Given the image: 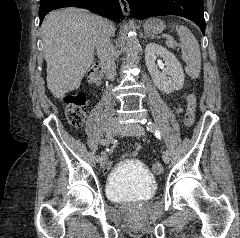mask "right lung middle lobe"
<instances>
[{"label":"right lung middle lobe","mask_w":240,"mask_h":238,"mask_svg":"<svg viewBox=\"0 0 240 238\" xmlns=\"http://www.w3.org/2000/svg\"><path fill=\"white\" fill-rule=\"evenodd\" d=\"M45 0H40V3L44 2Z\"/></svg>","instance_id":"right-lung-middle-lobe-1"}]
</instances>
